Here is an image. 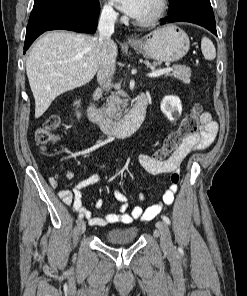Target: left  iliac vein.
<instances>
[{
  "label": "left iliac vein",
  "mask_w": 247,
  "mask_h": 296,
  "mask_svg": "<svg viewBox=\"0 0 247 296\" xmlns=\"http://www.w3.org/2000/svg\"><path fill=\"white\" fill-rule=\"evenodd\" d=\"M156 227L160 233V244L162 249L170 251L173 249L170 230L167 224L163 221H158Z\"/></svg>",
  "instance_id": "4c4485c4"
}]
</instances>
